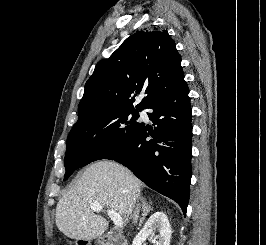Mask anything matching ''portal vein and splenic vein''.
I'll use <instances>...</instances> for the list:
<instances>
[{
    "mask_svg": "<svg viewBox=\"0 0 266 245\" xmlns=\"http://www.w3.org/2000/svg\"><path fill=\"white\" fill-rule=\"evenodd\" d=\"M90 207L94 213H100V211L103 209L100 203H91ZM106 213L116 227H123V219L120 217V215H118V213H116V211H114V209H108Z\"/></svg>",
    "mask_w": 266,
    "mask_h": 245,
    "instance_id": "1",
    "label": "portal vein and splenic vein"
}]
</instances>
